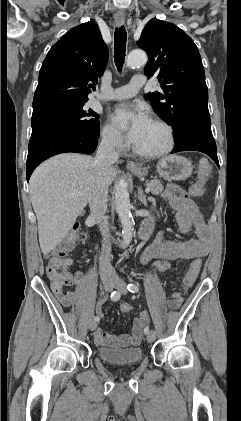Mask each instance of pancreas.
I'll list each match as a JSON object with an SVG mask.
<instances>
[{
	"label": "pancreas",
	"instance_id": "1",
	"mask_svg": "<svg viewBox=\"0 0 241 421\" xmlns=\"http://www.w3.org/2000/svg\"><path fill=\"white\" fill-rule=\"evenodd\" d=\"M146 186L151 189V193L153 195H159L163 191V185L157 179L151 180V181H147L146 182Z\"/></svg>",
	"mask_w": 241,
	"mask_h": 421
}]
</instances>
